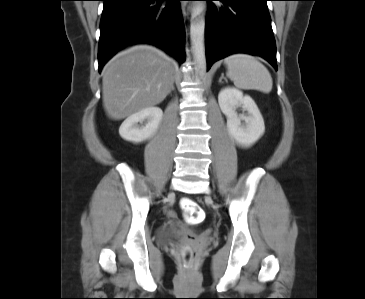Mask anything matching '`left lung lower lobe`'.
<instances>
[{
    "label": "left lung lower lobe",
    "mask_w": 365,
    "mask_h": 299,
    "mask_svg": "<svg viewBox=\"0 0 365 299\" xmlns=\"http://www.w3.org/2000/svg\"><path fill=\"white\" fill-rule=\"evenodd\" d=\"M205 49L208 70L233 53L265 58L277 70L276 43L267 8L268 0H205ZM212 1H221L216 6Z\"/></svg>",
    "instance_id": "obj_1"
}]
</instances>
